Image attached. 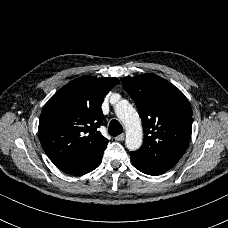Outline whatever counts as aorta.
I'll list each match as a JSON object with an SVG mask.
<instances>
[{
  "label": "aorta",
  "mask_w": 228,
  "mask_h": 228,
  "mask_svg": "<svg viewBox=\"0 0 228 228\" xmlns=\"http://www.w3.org/2000/svg\"><path fill=\"white\" fill-rule=\"evenodd\" d=\"M119 94L114 93L110 97V103L117 118L124 124L127 132L125 146L128 150L135 152L142 147L143 132L141 120L133 105L123 98L114 100Z\"/></svg>",
  "instance_id": "obj_1"
}]
</instances>
